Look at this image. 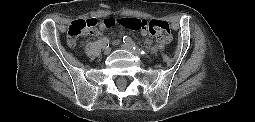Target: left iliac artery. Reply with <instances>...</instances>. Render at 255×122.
<instances>
[{"mask_svg":"<svg viewBox=\"0 0 255 122\" xmlns=\"http://www.w3.org/2000/svg\"><path fill=\"white\" fill-rule=\"evenodd\" d=\"M123 42H124L126 45L132 47L134 50H137L140 54H142V55H147V51H145V50L141 49L140 47H138V46L135 44V42H134L129 36H126V35H125V36L123 37Z\"/></svg>","mask_w":255,"mask_h":122,"instance_id":"1","label":"left iliac artery"}]
</instances>
